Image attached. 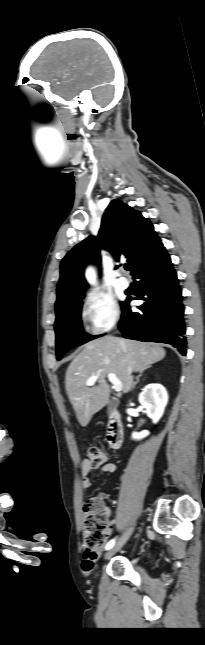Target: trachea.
<instances>
[{
  "label": "trachea",
  "instance_id": "3493384b",
  "mask_svg": "<svg viewBox=\"0 0 205 645\" xmlns=\"http://www.w3.org/2000/svg\"><path fill=\"white\" fill-rule=\"evenodd\" d=\"M124 268H125V270H127V271H128V270H130V265H129V264H125V267H124Z\"/></svg>",
  "mask_w": 205,
  "mask_h": 645
}]
</instances>
